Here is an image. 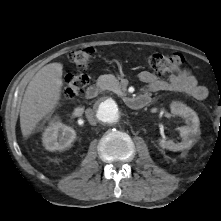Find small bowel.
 Wrapping results in <instances>:
<instances>
[{
    "label": "small bowel",
    "instance_id": "1",
    "mask_svg": "<svg viewBox=\"0 0 221 221\" xmlns=\"http://www.w3.org/2000/svg\"><path fill=\"white\" fill-rule=\"evenodd\" d=\"M139 79L147 85V90L151 92L173 91L186 93L197 100H205L208 89L200 85L197 78L188 69H183L177 74L171 75L167 81L157 78L149 71H142Z\"/></svg>",
    "mask_w": 221,
    "mask_h": 221
}]
</instances>
